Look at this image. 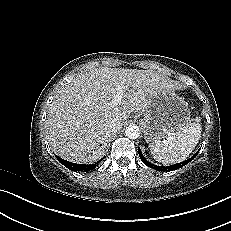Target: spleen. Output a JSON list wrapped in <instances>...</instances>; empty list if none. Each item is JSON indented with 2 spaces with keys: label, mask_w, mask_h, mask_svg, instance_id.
<instances>
[{
  "label": "spleen",
  "mask_w": 231,
  "mask_h": 231,
  "mask_svg": "<svg viewBox=\"0 0 231 231\" xmlns=\"http://www.w3.org/2000/svg\"><path fill=\"white\" fill-rule=\"evenodd\" d=\"M200 118L186 124L177 132L168 135L166 140H155L151 144L153 158L163 164H173L184 161L194 150L201 137Z\"/></svg>",
  "instance_id": "obj_1"
}]
</instances>
